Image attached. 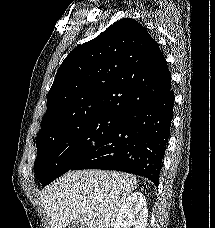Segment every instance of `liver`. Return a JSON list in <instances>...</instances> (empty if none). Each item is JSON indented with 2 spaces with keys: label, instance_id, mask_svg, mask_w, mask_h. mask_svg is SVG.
Listing matches in <instances>:
<instances>
[{
  "label": "liver",
  "instance_id": "1",
  "mask_svg": "<svg viewBox=\"0 0 215 228\" xmlns=\"http://www.w3.org/2000/svg\"><path fill=\"white\" fill-rule=\"evenodd\" d=\"M137 184L124 172L76 170L41 190L40 200L50 228H113L123 200Z\"/></svg>",
  "mask_w": 215,
  "mask_h": 228
}]
</instances>
